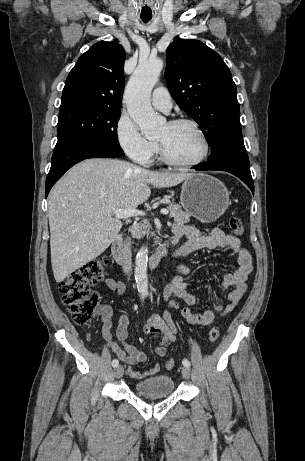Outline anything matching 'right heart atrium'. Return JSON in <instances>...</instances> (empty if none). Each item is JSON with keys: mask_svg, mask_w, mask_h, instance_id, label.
<instances>
[{"mask_svg": "<svg viewBox=\"0 0 305 461\" xmlns=\"http://www.w3.org/2000/svg\"><path fill=\"white\" fill-rule=\"evenodd\" d=\"M115 132L119 146L133 161L142 165L151 163L157 144L148 140L127 114L119 117Z\"/></svg>", "mask_w": 305, "mask_h": 461, "instance_id": "d8ad5b80", "label": "right heart atrium"}]
</instances>
